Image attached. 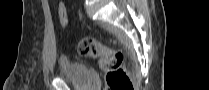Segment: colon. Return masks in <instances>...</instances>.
I'll list each match as a JSON object with an SVG mask.
<instances>
[{
    "label": "colon",
    "instance_id": "5ec220e1",
    "mask_svg": "<svg viewBox=\"0 0 209 90\" xmlns=\"http://www.w3.org/2000/svg\"><path fill=\"white\" fill-rule=\"evenodd\" d=\"M59 22L63 27L68 24V14L64 3L58 7ZM79 55L98 58L100 68L105 74V83L109 90H133V84L124 67L121 52L105 47L93 37H83L77 45Z\"/></svg>",
    "mask_w": 209,
    "mask_h": 90
}]
</instances>
